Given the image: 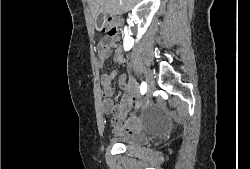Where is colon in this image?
I'll return each instance as SVG.
<instances>
[{
  "mask_svg": "<svg viewBox=\"0 0 250 169\" xmlns=\"http://www.w3.org/2000/svg\"><path fill=\"white\" fill-rule=\"evenodd\" d=\"M102 31L105 33L109 38L115 37L118 32L117 25H104L102 26Z\"/></svg>",
  "mask_w": 250,
  "mask_h": 169,
  "instance_id": "1",
  "label": "colon"
}]
</instances>
